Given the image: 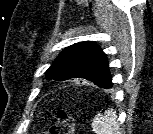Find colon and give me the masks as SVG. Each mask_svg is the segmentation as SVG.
<instances>
[{
    "label": "colon",
    "instance_id": "colon-1",
    "mask_svg": "<svg viewBox=\"0 0 153 134\" xmlns=\"http://www.w3.org/2000/svg\"><path fill=\"white\" fill-rule=\"evenodd\" d=\"M42 134H73V123L67 111L59 110L55 122Z\"/></svg>",
    "mask_w": 153,
    "mask_h": 134
}]
</instances>
